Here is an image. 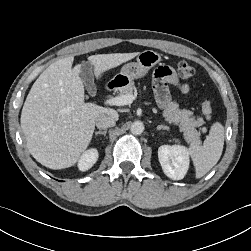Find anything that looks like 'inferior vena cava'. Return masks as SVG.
Listing matches in <instances>:
<instances>
[{
	"label": "inferior vena cava",
	"instance_id": "inferior-vena-cava-1",
	"mask_svg": "<svg viewBox=\"0 0 251 251\" xmlns=\"http://www.w3.org/2000/svg\"><path fill=\"white\" fill-rule=\"evenodd\" d=\"M115 117L110 114H100L96 118V126L99 129H107L109 127L115 126Z\"/></svg>",
	"mask_w": 251,
	"mask_h": 251
}]
</instances>
